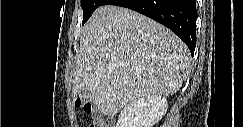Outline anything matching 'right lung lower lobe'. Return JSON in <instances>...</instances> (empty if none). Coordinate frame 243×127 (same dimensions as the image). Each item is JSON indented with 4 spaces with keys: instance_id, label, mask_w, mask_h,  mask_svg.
Segmentation results:
<instances>
[{
    "instance_id": "obj_1",
    "label": "right lung lower lobe",
    "mask_w": 243,
    "mask_h": 127,
    "mask_svg": "<svg viewBox=\"0 0 243 127\" xmlns=\"http://www.w3.org/2000/svg\"><path fill=\"white\" fill-rule=\"evenodd\" d=\"M146 15L171 29L194 55L196 46V0H105Z\"/></svg>"
}]
</instances>
